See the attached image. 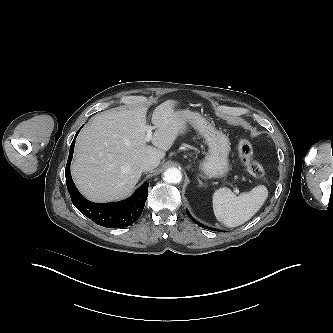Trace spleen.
<instances>
[{"label": "spleen", "instance_id": "obj_1", "mask_svg": "<svg viewBox=\"0 0 333 333\" xmlns=\"http://www.w3.org/2000/svg\"><path fill=\"white\" fill-rule=\"evenodd\" d=\"M268 197L264 185L254 187L250 192L236 196L229 188L223 187L213 194L212 203L216 219L227 227H237L252 218Z\"/></svg>", "mask_w": 333, "mask_h": 333}]
</instances>
